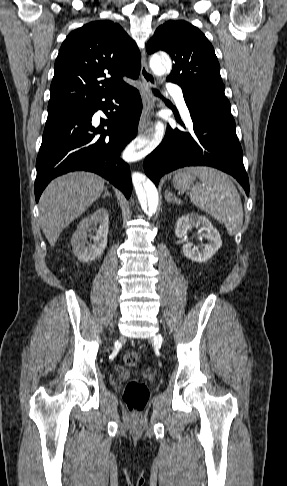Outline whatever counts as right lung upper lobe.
<instances>
[{
  "mask_svg": "<svg viewBox=\"0 0 287 486\" xmlns=\"http://www.w3.org/2000/svg\"><path fill=\"white\" fill-rule=\"evenodd\" d=\"M54 70L48 110L79 107L126 87L123 76L137 79L140 52L119 24L94 21L66 37Z\"/></svg>",
  "mask_w": 287,
  "mask_h": 486,
  "instance_id": "right-lung-upper-lobe-1",
  "label": "right lung upper lobe"
}]
</instances>
